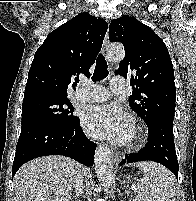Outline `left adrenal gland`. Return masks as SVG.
<instances>
[{"label": "left adrenal gland", "mask_w": 196, "mask_h": 201, "mask_svg": "<svg viewBox=\"0 0 196 201\" xmlns=\"http://www.w3.org/2000/svg\"><path fill=\"white\" fill-rule=\"evenodd\" d=\"M127 184L126 186H124V188H126L125 189V193L127 194V195H129V190H128V188H129V183H130V178L129 177H126L125 179H124V181H123V184Z\"/></svg>", "instance_id": "left-adrenal-gland-1"}]
</instances>
